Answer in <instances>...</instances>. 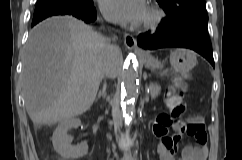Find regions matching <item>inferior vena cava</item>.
Masks as SVG:
<instances>
[{
    "label": "inferior vena cava",
    "instance_id": "inferior-vena-cava-1",
    "mask_svg": "<svg viewBox=\"0 0 242 160\" xmlns=\"http://www.w3.org/2000/svg\"><path fill=\"white\" fill-rule=\"evenodd\" d=\"M104 46L108 58L104 61L103 68H99L98 72L103 73L102 77H104L105 81H112L116 77V73L120 72L118 63L121 61V50H119V47L112 45L110 39H105Z\"/></svg>",
    "mask_w": 242,
    "mask_h": 160
}]
</instances>
